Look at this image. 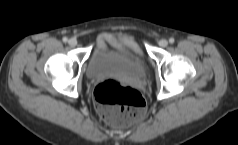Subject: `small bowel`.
Here are the masks:
<instances>
[{"mask_svg": "<svg viewBox=\"0 0 238 145\" xmlns=\"http://www.w3.org/2000/svg\"><path fill=\"white\" fill-rule=\"evenodd\" d=\"M129 42L134 48L139 49V45L135 40L130 39ZM107 44H112L121 48L120 45L116 42V39L111 34L105 33L101 35L99 39V45L106 48Z\"/></svg>", "mask_w": 238, "mask_h": 145, "instance_id": "1", "label": "small bowel"}]
</instances>
